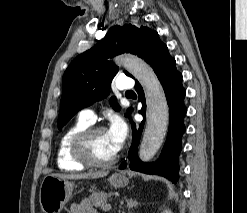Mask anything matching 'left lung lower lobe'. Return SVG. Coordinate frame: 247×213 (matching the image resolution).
<instances>
[{
	"label": "left lung lower lobe",
	"instance_id": "0a47b994",
	"mask_svg": "<svg viewBox=\"0 0 247 213\" xmlns=\"http://www.w3.org/2000/svg\"><path fill=\"white\" fill-rule=\"evenodd\" d=\"M154 71L160 80L169 106V130L159 160L155 163H144L137 156L139 140L144 127V121L139 125L138 130L133 124V141L129 150L130 169L147 174H156L166 177L175 182L178 180V157L181 151V137L185 132L184 116L187 109L184 105V97L186 94L182 86V75L176 69L175 59L169 56L164 61L154 66ZM136 91L139 94V101L143 106L140 114L145 119L146 104L142 87L137 83ZM126 168L124 161L120 165V169Z\"/></svg>",
	"mask_w": 247,
	"mask_h": 213
}]
</instances>
